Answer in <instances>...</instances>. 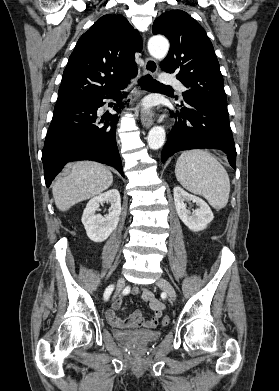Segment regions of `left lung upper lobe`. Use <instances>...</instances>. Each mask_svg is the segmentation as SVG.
<instances>
[{
    "label": "left lung upper lobe",
    "instance_id": "1",
    "mask_svg": "<svg viewBox=\"0 0 279 391\" xmlns=\"http://www.w3.org/2000/svg\"><path fill=\"white\" fill-rule=\"evenodd\" d=\"M152 31L170 40V50L161 68L176 72V78L188 88L183 93L184 100H201L227 111L223 77L203 27L186 12L171 10L155 19Z\"/></svg>",
    "mask_w": 279,
    "mask_h": 391
}]
</instances>
